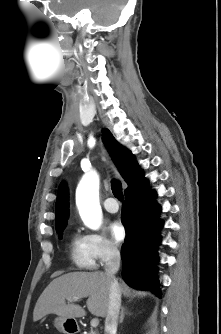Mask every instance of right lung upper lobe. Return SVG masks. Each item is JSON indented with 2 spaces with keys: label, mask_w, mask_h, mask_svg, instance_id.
Returning <instances> with one entry per match:
<instances>
[{
  "label": "right lung upper lobe",
  "mask_w": 221,
  "mask_h": 334,
  "mask_svg": "<svg viewBox=\"0 0 221 334\" xmlns=\"http://www.w3.org/2000/svg\"><path fill=\"white\" fill-rule=\"evenodd\" d=\"M103 141L109 149L111 156L119 169L130 190L140 184L145 178L141 168L135 164L133 155L122 145H120L107 129L103 130ZM68 219V191L64 184H61L58 190L56 200V230L65 228Z\"/></svg>",
  "instance_id": "right-lung-upper-lobe-1"
}]
</instances>
